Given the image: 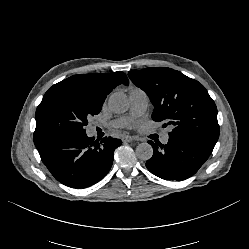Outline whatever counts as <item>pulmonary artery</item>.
<instances>
[{"label":"pulmonary artery","instance_id":"1","mask_svg":"<svg viewBox=\"0 0 249 249\" xmlns=\"http://www.w3.org/2000/svg\"><path fill=\"white\" fill-rule=\"evenodd\" d=\"M129 97L131 102L130 116L123 117L121 119L110 122L109 125L111 127L115 128L125 127L130 123L132 117L140 116L146 111L149 103V97L145 91L141 89H132L129 93ZM94 132L95 129L94 127H92L91 134L93 135ZM168 140H169V131H165L161 135V142L163 144H167Z\"/></svg>","mask_w":249,"mask_h":249}]
</instances>
